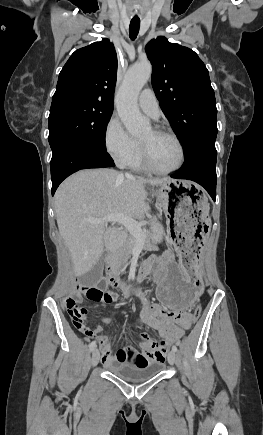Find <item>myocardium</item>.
Here are the masks:
<instances>
[{"label": "myocardium", "instance_id": "1", "mask_svg": "<svg viewBox=\"0 0 263 435\" xmlns=\"http://www.w3.org/2000/svg\"><path fill=\"white\" fill-rule=\"evenodd\" d=\"M153 132L157 135H163V136L170 137L175 141V143L177 144L179 151H180V161L175 167H173L171 169H166V170L159 169L152 163L147 147L143 143H141L142 156H143V161H144L145 167L149 171L156 173V174H160V175L170 174V173H173V172L181 169L185 163L186 153H185L184 145H183L182 141L180 140V138L174 132L169 131V130L164 129V128H161V127H155L153 129Z\"/></svg>", "mask_w": 263, "mask_h": 435}]
</instances>
